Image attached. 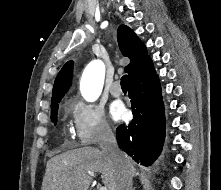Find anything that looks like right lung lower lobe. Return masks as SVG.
Listing matches in <instances>:
<instances>
[{
  "mask_svg": "<svg viewBox=\"0 0 221 190\" xmlns=\"http://www.w3.org/2000/svg\"><path fill=\"white\" fill-rule=\"evenodd\" d=\"M133 120L117 127L119 147L137 163L150 166L160 155L165 139V112L156 73L129 83Z\"/></svg>",
  "mask_w": 221,
  "mask_h": 190,
  "instance_id": "obj_1",
  "label": "right lung lower lobe"
}]
</instances>
